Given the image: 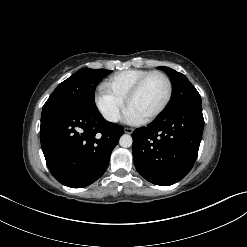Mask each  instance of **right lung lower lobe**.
<instances>
[{
  "instance_id": "1",
  "label": "right lung lower lobe",
  "mask_w": 247,
  "mask_h": 247,
  "mask_svg": "<svg viewBox=\"0 0 247 247\" xmlns=\"http://www.w3.org/2000/svg\"><path fill=\"white\" fill-rule=\"evenodd\" d=\"M123 127L98 110L53 105L42 110L40 140L51 174L71 188L86 187L106 171Z\"/></svg>"
}]
</instances>
